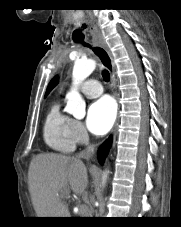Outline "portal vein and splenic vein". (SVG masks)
<instances>
[{
  "label": "portal vein and splenic vein",
  "instance_id": "1",
  "mask_svg": "<svg viewBox=\"0 0 181 227\" xmlns=\"http://www.w3.org/2000/svg\"><path fill=\"white\" fill-rule=\"evenodd\" d=\"M80 209H81L83 212H85V211L87 210V206H86V205H81V206H80Z\"/></svg>",
  "mask_w": 181,
  "mask_h": 227
}]
</instances>
